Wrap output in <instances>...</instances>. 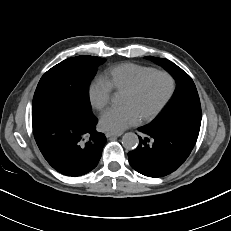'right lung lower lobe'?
<instances>
[{"instance_id":"1","label":"right lung lower lobe","mask_w":231,"mask_h":231,"mask_svg":"<svg viewBox=\"0 0 231 231\" xmlns=\"http://www.w3.org/2000/svg\"><path fill=\"white\" fill-rule=\"evenodd\" d=\"M94 116L45 114L32 118L36 143L47 162L66 176H81L93 170L106 138L96 131Z\"/></svg>"}]
</instances>
